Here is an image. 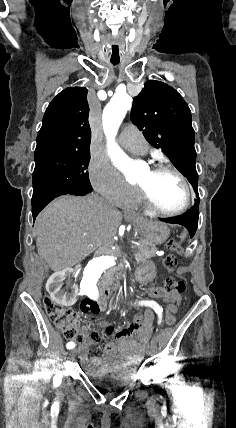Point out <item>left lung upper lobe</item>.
Wrapping results in <instances>:
<instances>
[{
  "mask_svg": "<svg viewBox=\"0 0 236 428\" xmlns=\"http://www.w3.org/2000/svg\"><path fill=\"white\" fill-rule=\"evenodd\" d=\"M131 121L152 146L165 153L198 193L191 112L181 95L163 82L147 81L134 98Z\"/></svg>",
  "mask_w": 236,
  "mask_h": 428,
  "instance_id": "1",
  "label": "left lung upper lobe"
}]
</instances>
